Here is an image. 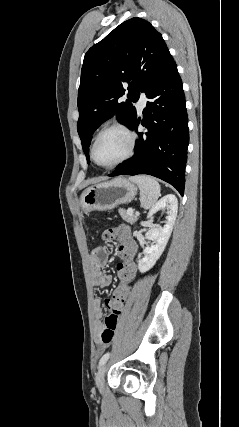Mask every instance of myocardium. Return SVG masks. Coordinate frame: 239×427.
I'll list each match as a JSON object with an SVG mask.
<instances>
[{
	"mask_svg": "<svg viewBox=\"0 0 239 427\" xmlns=\"http://www.w3.org/2000/svg\"><path fill=\"white\" fill-rule=\"evenodd\" d=\"M110 130H120V131L124 132L128 137L129 146H128V150H127L126 154L120 160H118L117 162L110 164V165H103V164H100L95 158V147H96L99 139L101 138V136L105 132L110 131ZM136 142H137V135L130 127H128L126 124L121 123V122H113L111 124L104 126L97 133L96 137L94 138V141H93V143L91 145V149H90L91 159L100 168H103V169L116 168V167L120 166L121 164L125 163L126 161H128L133 156V154L135 152V148H136Z\"/></svg>",
	"mask_w": 239,
	"mask_h": 427,
	"instance_id": "myocardium-1",
	"label": "myocardium"
}]
</instances>
